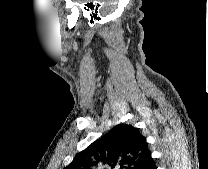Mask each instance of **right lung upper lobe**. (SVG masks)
Here are the masks:
<instances>
[{"label":"right lung upper lobe","instance_id":"1","mask_svg":"<svg viewBox=\"0 0 208 169\" xmlns=\"http://www.w3.org/2000/svg\"><path fill=\"white\" fill-rule=\"evenodd\" d=\"M150 159L139 129L119 124L78 153L64 169H143Z\"/></svg>","mask_w":208,"mask_h":169}]
</instances>
